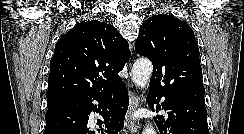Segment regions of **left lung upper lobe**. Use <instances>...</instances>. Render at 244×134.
<instances>
[{
    "label": "left lung upper lobe",
    "instance_id": "left-lung-upper-lobe-1",
    "mask_svg": "<svg viewBox=\"0 0 244 134\" xmlns=\"http://www.w3.org/2000/svg\"><path fill=\"white\" fill-rule=\"evenodd\" d=\"M135 50L152 61V88L204 103L199 48L184 21L167 14L151 16L139 29Z\"/></svg>",
    "mask_w": 244,
    "mask_h": 134
}]
</instances>
